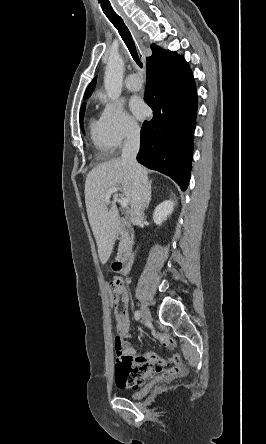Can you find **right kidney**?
<instances>
[{"label": "right kidney", "mask_w": 266, "mask_h": 444, "mask_svg": "<svg viewBox=\"0 0 266 444\" xmlns=\"http://www.w3.org/2000/svg\"><path fill=\"white\" fill-rule=\"evenodd\" d=\"M175 206L173 200H166L160 203L154 210L153 220L157 225H161L171 215Z\"/></svg>", "instance_id": "ca27d5eb"}]
</instances>
